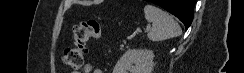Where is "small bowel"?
I'll use <instances>...</instances> for the list:
<instances>
[{"mask_svg":"<svg viewBox=\"0 0 244 73\" xmlns=\"http://www.w3.org/2000/svg\"><path fill=\"white\" fill-rule=\"evenodd\" d=\"M81 73H102V71L94 67L92 64H86L84 65Z\"/></svg>","mask_w":244,"mask_h":73,"instance_id":"obj_1","label":"small bowel"}]
</instances>
